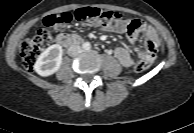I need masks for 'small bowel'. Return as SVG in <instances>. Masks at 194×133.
I'll use <instances>...</instances> for the list:
<instances>
[{"label":"small bowel","instance_id":"small-bowel-1","mask_svg":"<svg viewBox=\"0 0 194 133\" xmlns=\"http://www.w3.org/2000/svg\"><path fill=\"white\" fill-rule=\"evenodd\" d=\"M109 29L118 33H125L133 45H136L139 36L143 35V49H137L139 57L150 54L155 57L160 40L157 31L150 24L140 19H126L121 24L109 27ZM114 55L124 67L134 65L133 58L125 48L116 47Z\"/></svg>","mask_w":194,"mask_h":133}]
</instances>
